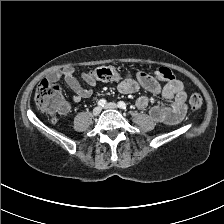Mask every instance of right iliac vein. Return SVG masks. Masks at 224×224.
<instances>
[{
  "label": "right iliac vein",
  "instance_id": "63e3f726",
  "mask_svg": "<svg viewBox=\"0 0 224 224\" xmlns=\"http://www.w3.org/2000/svg\"><path fill=\"white\" fill-rule=\"evenodd\" d=\"M102 108L100 106H97L93 109L92 113L94 116H97L101 113Z\"/></svg>",
  "mask_w": 224,
  "mask_h": 224
}]
</instances>
